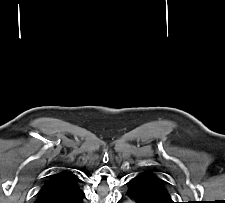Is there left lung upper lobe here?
Returning <instances> with one entry per match:
<instances>
[{
    "label": "left lung upper lobe",
    "mask_w": 225,
    "mask_h": 203,
    "mask_svg": "<svg viewBox=\"0 0 225 203\" xmlns=\"http://www.w3.org/2000/svg\"><path fill=\"white\" fill-rule=\"evenodd\" d=\"M146 189V191L162 203H174L169 191L167 182L151 171L141 172L134 177Z\"/></svg>",
    "instance_id": "5c2ea615"
}]
</instances>
